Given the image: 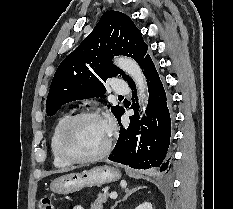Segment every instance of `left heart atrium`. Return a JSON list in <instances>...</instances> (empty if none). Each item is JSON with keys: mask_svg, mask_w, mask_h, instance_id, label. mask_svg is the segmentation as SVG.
Segmentation results:
<instances>
[{"mask_svg": "<svg viewBox=\"0 0 233 209\" xmlns=\"http://www.w3.org/2000/svg\"><path fill=\"white\" fill-rule=\"evenodd\" d=\"M103 123H104V126H105L107 132H110V130H111V122L108 119H106V120L103 121Z\"/></svg>", "mask_w": 233, "mask_h": 209, "instance_id": "1", "label": "left heart atrium"}]
</instances>
